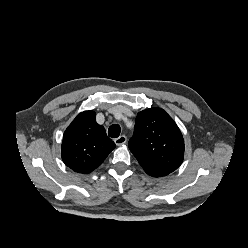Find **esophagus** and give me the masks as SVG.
<instances>
[{
  "label": "esophagus",
  "mask_w": 248,
  "mask_h": 248,
  "mask_svg": "<svg viewBox=\"0 0 248 248\" xmlns=\"http://www.w3.org/2000/svg\"><path fill=\"white\" fill-rule=\"evenodd\" d=\"M126 141H127V137L124 135H121L118 138L114 139L115 144L118 146L125 144Z\"/></svg>",
  "instance_id": "34e87169"
}]
</instances>
